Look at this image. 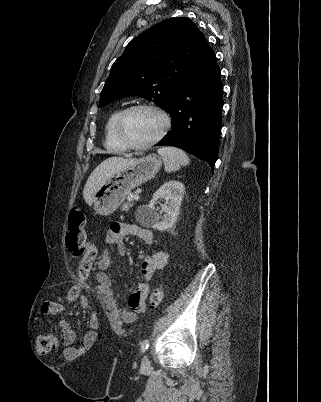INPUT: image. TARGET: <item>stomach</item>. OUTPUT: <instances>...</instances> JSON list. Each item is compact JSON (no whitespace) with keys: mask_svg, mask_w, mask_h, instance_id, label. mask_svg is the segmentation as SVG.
<instances>
[{"mask_svg":"<svg viewBox=\"0 0 321 402\" xmlns=\"http://www.w3.org/2000/svg\"><path fill=\"white\" fill-rule=\"evenodd\" d=\"M161 166V157L157 154H149L116 171L94 194L93 205L96 213L112 214L133 188L153 178Z\"/></svg>","mask_w":321,"mask_h":402,"instance_id":"0dacf381","label":"stomach"}]
</instances>
